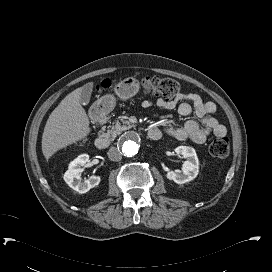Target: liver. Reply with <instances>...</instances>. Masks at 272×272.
Instances as JSON below:
<instances>
[{"instance_id":"6515ba94","label":"liver","mask_w":272,"mask_h":272,"mask_svg":"<svg viewBox=\"0 0 272 272\" xmlns=\"http://www.w3.org/2000/svg\"><path fill=\"white\" fill-rule=\"evenodd\" d=\"M82 88L69 93L50 114L42 135V153L46 160L90 133L89 118L80 104Z\"/></svg>"}]
</instances>
